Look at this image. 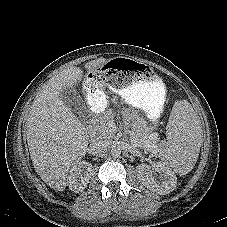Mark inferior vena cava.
<instances>
[{"instance_id":"602c4592","label":"inferior vena cava","mask_w":227,"mask_h":227,"mask_svg":"<svg viewBox=\"0 0 227 227\" xmlns=\"http://www.w3.org/2000/svg\"><path fill=\"white\" fill-rule=\"evenodd\" d=\"M109 150V142L105 140H97L90 144V151L95 156H104Z\"/></svg>"}]
</instances>
